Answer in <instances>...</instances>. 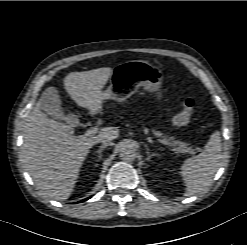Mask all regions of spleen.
<instances>
[{"label": "spleen", "mask_w": 247, "mask_h": 245, "mask_svg": "<svg viewBox=\"0 0 247 245\" xmlns=\"http://www.w3.org/2000/svg\"><path fill=\"white\" fill-rule=\"evenodd\" d=\"M221 150L220 132L215 131L202 153L183 162L180 175L185 183L187 195H194L212 183L220 165Z\"/></svg>", "instance_id": "obj_1"}]
</instances>
